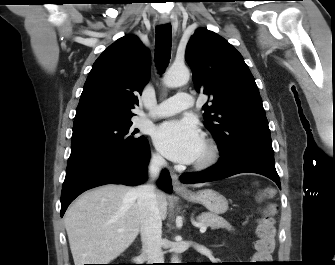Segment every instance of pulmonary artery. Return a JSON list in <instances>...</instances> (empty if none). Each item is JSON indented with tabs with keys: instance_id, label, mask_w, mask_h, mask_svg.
<instances>
[{
	"instance_id": "e3ab8cb5",
	"label": "pulmonary artery",
	"mask_w": 335,
	"mask_h": 265,
	"mask_svg": "<svg viewBox=\"0 0 335 265\" xmlns=\"http://www.w3.org/2000/svg\"><path fill=\"white\" fill-rule=\"evenodd\" d=\"M193 106V97L189 93L180 92L160 103L151 113L153 117H165L181 112Z\"/></svg>"
}]
</instances>
